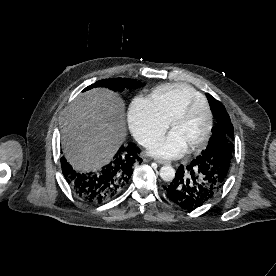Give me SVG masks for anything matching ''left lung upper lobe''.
I'll return each mask as SVG.
<instances>
[{"label":"left lung upper lobe","mask_w":276,"mask_h":276,"mask_svg":"<svg viewBox=\"0 0 276 276\" xmlns=\"http://www.w3.org/2000/svg\"><path fill=\"white\" fill-rule=\"evenodd\" d=\"M217 125L212 128V137L199 156L210 164L216 174L222 178V186L227 179L234 153V128L222 103L207 94Z\"/></svg>","instance_id":"left-lung-upper-lobe-1"}]
</instances>
